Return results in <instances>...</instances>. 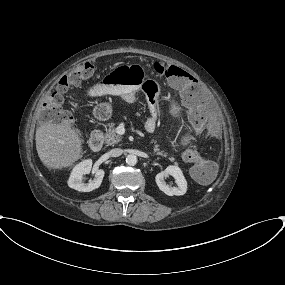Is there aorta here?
Masks as SVG:
<instances>
[{"mask_svg": "<svg viewBox=\"0 0 285 285\" xmlns=\"http://www.w3.org/2000/svg\"><path fill=\"white\" fill-rule=\"evenodd\" d=\"M126 163L130 166H134L137 164V156L134 154H129L126 156Z\"/></svg>", "mask_w": 285, "mask_h": 285, "instance_id": "1", "label": "aorta"}]
</instances>
